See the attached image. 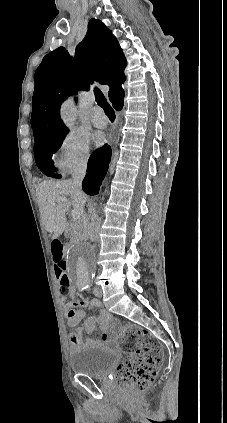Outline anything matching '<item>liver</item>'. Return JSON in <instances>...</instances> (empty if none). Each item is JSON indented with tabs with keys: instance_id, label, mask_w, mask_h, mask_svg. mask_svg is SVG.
I'll use <instances>...</instances> for the list:
<instances>
[{
	"instance_id": "6515ba94",
	"label": "liver",
	"mask_w": 227,
	"mask_h": 423,
	"mask_svg": "<svg viewBox=\"0 0 227 423\" xmlns=\"http://www.w3.org/2000/svg\"><path fill=\"white\" fill-rule=\"evenodd\" d=\"M37 202L41 219L45 229L52 235V239L60 237L63 231H70L69 223L66 217V211L73 206L74 210L82 215L81 221L88 227V219L84 213V204L87 202L86 194L78 192L72 184V180H63V182H42L36 186ZM65 202H58V200Z\"/></svg>"
}]
</instances>
